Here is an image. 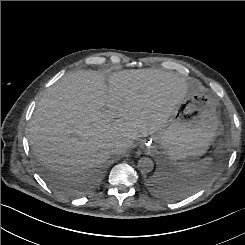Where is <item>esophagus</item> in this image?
<instances>
[{
  "label": "esophagus",
  "instance_id": "esophagus-1",
  "mask_svg": "<svg viewBox=\"0 0 245 245\" xmlns=\"http://www.w3.org/2000/svg\"><path fill=\"white\" fill-rule=\"evenodd\" d=\"M150 148H151V146H150V144L147 143V142L143 143L142 146H141V149H142V150H145V151H149Z\"/></svg>",
  "mask_w": 245,
  "mask_h": 245
}]
</instances>
